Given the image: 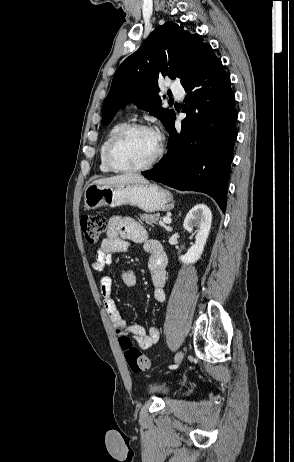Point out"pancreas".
I'll use <instances>...</instances> for the list:
<instances>
[{"label":"pancreas","mask_w":294,"mask_h":462,"mask_svg":"<svg viewBox=\"0 0 294 462\" xmlns=\"http://www.w3.org/2000/svg\"><path fill=\"white\" fill-rule=\"evenodd\" d=\"M140 219L144 221L146 224L153 226L157 224L159 221V217L152 214H143L140 216Z\"/></svg>","instance_id":"obj_1"}]
</instances>
